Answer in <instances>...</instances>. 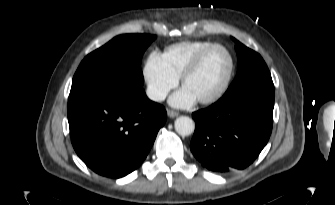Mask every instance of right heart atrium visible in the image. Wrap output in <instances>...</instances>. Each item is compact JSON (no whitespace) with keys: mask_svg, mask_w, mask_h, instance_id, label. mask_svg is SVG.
Listing matches in <instances>:
<instances>
[{"mask_svg":"<svg viewBox=\"0 0 335 205\" xmlns=\"http://www.w3.org/2000/svg\"><path fill=\"white\" fill-rule=\"evenodd\" d=\"M142 75L147 94L154 101L163 100L179 81V77L168 68L162 55L157 52L148 55Z\"/></svg>","mask_w":335,"mask_h":205,"instance_id":"right-heart-atrium-1","label":"right heart atrium"}]
</instances>
